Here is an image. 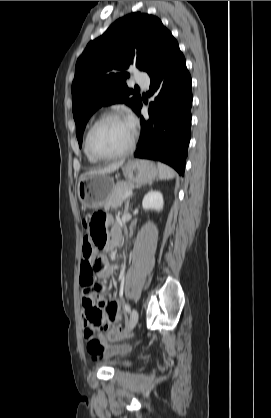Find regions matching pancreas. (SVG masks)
<instances>
[{
	"label": "pancreas",
	"instance_id": "1",
	"mask_svg": "<svg viewBox=\"0 0 271 418\" xmlns=\"http://www.w3.org/2000/svg\"><path fill=\"white\" fill-rule=\"evenodd\" d=\"M132 189H134L133 183L123 181L117 182V184L113 187L106 203L104 204L105 210L121 206L124 201L123 197L125 193L131 191Z\"/></svg>",
	"mask_w": 271,
	"mask_h": 418
}]
</instances>
